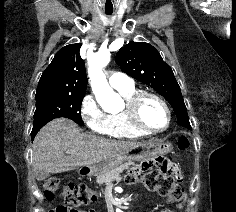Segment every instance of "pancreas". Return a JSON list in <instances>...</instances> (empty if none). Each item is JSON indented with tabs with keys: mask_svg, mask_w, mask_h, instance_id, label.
Listing matches in <instances>:
<instances>
[{
	"mask_svg": "<svg viewBox=\"0 0 236 212\" xmlns=\"http://www.w3.org/2000/svg\"><path fill=\"white\" fill-rule=\"evenodd\" d=\"M133 162H128L119 165L116 168H113L111 170H108L107 172L97 176L96 182L100 185L102 184H110L112 181H120V174L125 170L128 169L130 165H132Z\"/></svg>",
	"mask_w": 236,
	"mask_h": 212,
	"instance_id": "cf45deb5",
	"label": "pancreas"
}]
</instances>
